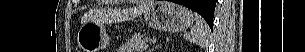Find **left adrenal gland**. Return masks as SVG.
Wrapping results in <instances>:
<instances>
[{
    "mask_svg": "<svg viewBox=\"0 0 305 52\" xmlns=\"http://www.w3.org/2000/svg\"><path fill=\"white\" fill-rule=\"evenodd\" d=\"M159 45H156L155 47L152 48L151 52H153L154 50L158 49Z\"/></svg>",
    "mask_w": 305,
    "mask_h": 52,
    "instance_id": "obj_1",
    "label": "left adrenal gland"
}]
</instances>
